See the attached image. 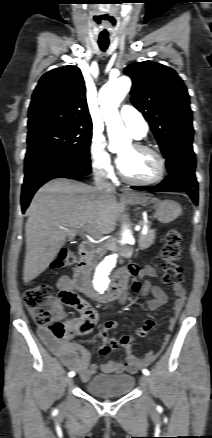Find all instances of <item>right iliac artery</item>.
Returning <instances> with one entry per match:
<instances>
[{
    "instance_id": "obj_1",
    "label": "right iliac artery",
    "mask_w": 212,
    "mask_h": 438,
    "mask_svg": "<svg viewBox=\"0 0 212 438\" xmlns=\"http://www.w3.org/2000/svg\"><path fill=\"white\" fill-rule=\"evenodd\" d=\"M68 376H69V377H73V376H75V372H74V371L69 372V373H68Z\"/></svg>"
}]
</instances>
